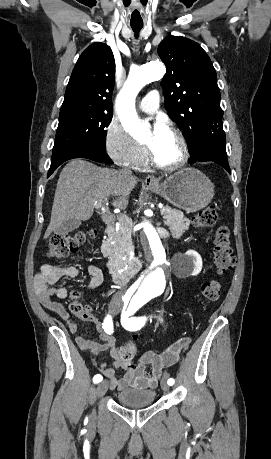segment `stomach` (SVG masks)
Returning a JSON list of instances; mask_svg holds the SVG:
<instances>
[{
	"instance_id": "1",
	"label": "stomach",
	"mask_w": 271,
	"mask_h": 459,
	"mask_svg": "<svg viewBox=\"0 0 271 459\" xmlns=\"http://www.w3.org/2000/svg\"><path fill=\"white\" fill-rule=\"evenodd\" d=\"M145 190L159 194L167 202L186 212H198L206 208L214 196V186L209 178L195 168L178 170L160 186H145Z\"/></svg>"
}]
</instances>
